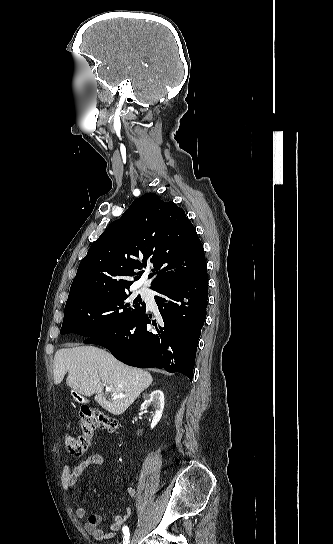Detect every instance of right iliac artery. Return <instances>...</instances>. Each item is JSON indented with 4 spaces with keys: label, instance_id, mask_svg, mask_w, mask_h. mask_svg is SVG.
Segmentation results:
<instances>
[{
    "label": "right iliac artery",
    "instance_id": "obj_1",
    "mask_svg": "<svg viewBox=\"0 0 333 544\" xmlns=\"http://www.w3.org/2000/svg\"><path fill=\"white\" fill-rule=\"evenodd\" d=\"M122 530H123V534H124L123 544H128L129 543V536H130L129 528H128V526H124Z\"/></svg>",
    "mask_w": 333,
    "mask_h": 544
}]
</instances>
